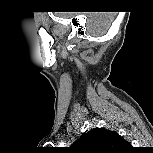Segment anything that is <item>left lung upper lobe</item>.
<instances>
[{
	"label": "left lung upper lobe",
	"mask_w": 153,
	"mask_h": 153,
	"mask_svg": "<svg viewBox=\"0 0 153 153\" xmlns=\"http://www.w3.org/2000/svg\"><path fill=\"white\" fill-rule=\"evenodd\" d=\"M129 146V142L115 131L94 128L84 133L71 147L80 153H117Z\"/></svg>",
	"instance_id": "left-lung-upper-lobe-1"
}]
</instances>
